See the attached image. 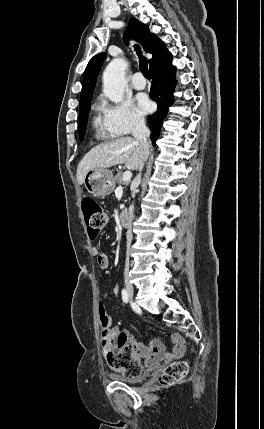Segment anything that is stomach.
I'll return each instance as SVG.
<instances>
[{"mask_svg": "<svg viewBox=\"0 0 264 429\" xmlns=\"http://www.w3.org/2000/svg\"><path fill=\"white\" fill-rule=\"evenodd\" d=\"M84 184L94 197H105L115 188V179L109 169H92L86 173Z\"/></svg>", "mask_w": 264, "mask_h": 429, "instance_id": "0dacf381", "label": "stomach"}]
</instances>
